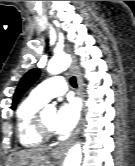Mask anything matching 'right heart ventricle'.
Masks as SVG:
<instances>
[{
  "instance_id": "right-heart-ventricle-1",
  "label": "right heart ventricle",
  "mask_w": 135,
  "mask_h": 166,
  "mask_svg": "<svg viewBox=\"0 0 135 166\" xmlns=\"http://www.w3.org/2000/svg\"><path fill=\"white\" fill-rule=\"evenodd\" d=\"M44 104L45 102L30 94L16 109V135L20 145L25 148H36L44 142L34 128V118Z\"/></svg>"
}]
</instances>
